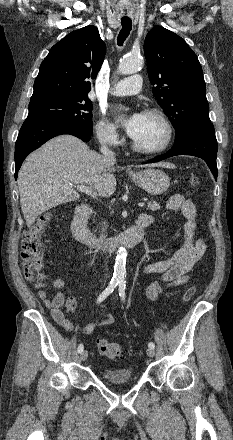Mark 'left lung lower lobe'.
Here are the masks:
<instances>
[{"instance_id":"1","label":"left lung lower lobe","mask_w":233,"mask_h":440,"mask_svg":"<svg viewBox=\"0 0 233 440\" xmlns=\"http://www.w3.org/2000/svg\"><path fill=\"white\" fill-rule=\"evenodd\" d=\"M176 155H191L202 158L207 163L215 179H217V140L213 124H202L193 127L181 139L175 141L170 151L146 163L161 161Z\"/></svg>"}]
</instances>
